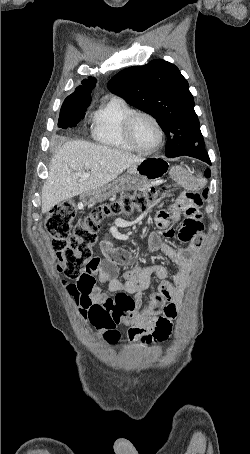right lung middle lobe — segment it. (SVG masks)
<instances>
[{"mask_svg":"<svg viewBox=\"0 0 250 454\" xmlns=\"http://www.w3.org/2000/svg\"><path fill=\"white\" fill-rule=\"evenodd\" d=\"M89 104L90 102L63 104L60 111L58 127L64 129L68 127H75L81 119L84 118Z\"/></svg>","mask_w":250,"mask_h":454,"instance_id":"obj_1","label":"right lung middle lobe"}]
</instances>
